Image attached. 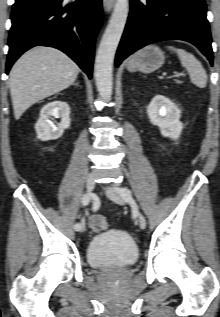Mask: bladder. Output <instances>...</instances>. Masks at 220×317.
<instances>
[{"mask_svg":"<svg viewBox=\"0 0 220 317\" xmlns=\"http://www.w3.org/2000/svg\"><path fill=\"white\" fill-rule=\"evenodd\" d=\"M88 263L98 269L126 268L139 258L133 238L123 230H108L96 234L86 249Z\"/></svg>","mask_w":220,"mask_h":317,"instance_id":"1","label":"bladder"}]
</instances>
